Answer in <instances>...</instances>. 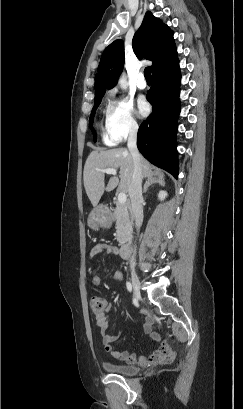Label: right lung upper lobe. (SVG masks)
I'll list each match as a JSON object with an SVG mask.
<instances>
[{
    "label": "right lung upper lobe",
    "mask_w": 243,
    "mask_h": 409,
    "mask_svg": "<svg viewBox=\"0 0 243 409\" xmlns=\"http://www.w3.org/2000/svg\"><path fill=\"white\" fill-rule=\"evenodd\" d=\"M133 51L138 58L153 62L151 70L164 60L174 49L173 32L148 11L134 34ZM124 65V44L122 40L112 42L103 52L95 77V99L102 98L106 89L117 84Z\"/></svg>",
    "instance_id": "1"
}]
</instances>
